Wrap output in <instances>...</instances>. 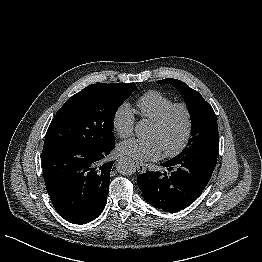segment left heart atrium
Masks as SVG:
<instances>
[{
  "label": "left heart atrium",
  "mask_w": 262,
  "mask_h": 262,
  "mask_svg": "<svg viewBox=\"0 0 262 262\" xmlns=\"http://www.w3.org/2000/svg\"><path fill=\"white\" fill-rule=\"evenodd\" d=\"M118 151L139 162L158 160L164 152L160 142L155 138L126 140L119 144Z\"/></svg>",
  "instance_id": "39dd6f15"
}]
</instances>
